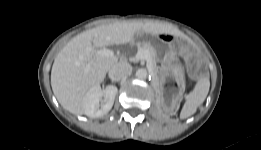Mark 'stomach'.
Segmentation results:
<instances>
[{"label":"stomach","instance_id":"obj_1","mask_svg":"<svg viewBox=\"0 0 261 150\" xmlns=\"http://www.w3.org/2000/svg\"><path fill=\"white\" fill-rule=\"evenodd\" d=\"M153 52L155 53V50H153ZM161 69H162V74L166 77H171L178 81H181L183 79V72L176 65L164 63L162 64Z\"/></svg>","mask_w":261,"mask_h":150}]
</instances>
